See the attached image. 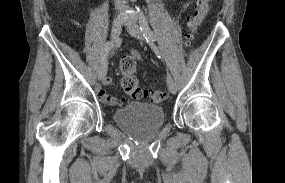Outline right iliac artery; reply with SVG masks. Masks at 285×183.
<instances>
[{"instance_id":"obj_1","label":"right iliac artery","mask_w":285,"mask_h":183,"mask_svg":"<svg viewBox=\"0 0 285 183\" xmlns=\"http://www.w3.org/2000/svg\"><path fill=\"white\" fill-rule=\"evenodd\" d=\"M113 47L112 41H107L104 45L102 54H101V64L106 62L107 56L109 54L110 49Z\"/></svg>"}]
</instances>
